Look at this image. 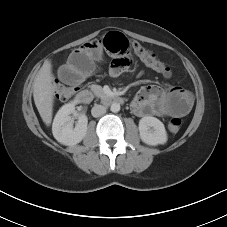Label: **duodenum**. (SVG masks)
<instances>
[{"label":"duodenum","mask_w":227,"mask_h":227,"mask_svg":"<svg viewBox=\"0 0 227 227\" xmlns=\"http://www.w3.org/2000/svg\"><path fill=\"white\" fill-rule=\"evenodd\" d=\"M77 99L79 102L83 104H88L93 100V94L90 90L83 89L78 93ZM106 101L122 104L124 102V98L120 95L113 94V95L107 96Z\"/></svg>","instance_id":"1"}]
</instances>
